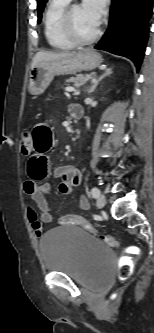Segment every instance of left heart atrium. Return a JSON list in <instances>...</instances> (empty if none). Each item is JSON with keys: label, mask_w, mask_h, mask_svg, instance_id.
Wrapping results in <instances>:
<instances>
[{"label": "left heart atrium", "mask_w": 154, "mask_h": 333, "mask_svg": "<svg viewBox=\"0 0 154 333\" xmlns=\"http://www.w3.org/2000/svg\"><path fill=\"white\" fill-rule=\"evenodd\" d=\"M81 7L85 14L99 26L105 12V0H83Z\"/></svg>", "instance_id": "left-heart-atrium-1"}]
</instances>
